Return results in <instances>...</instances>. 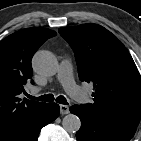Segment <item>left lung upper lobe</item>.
<instances>
[{"label":"left lung upper lobe","mask_w":141,"mask_h":141,"mask_svg":"<svg viewBox=\"0 0 141 141\" xmlns=\"http://www.w3.org/2000/svg\"><path fill=\"white\" fill-rule=\"evenodd\" d=\"M72 47L81 81L92 83L93 103L103 117L137 127L141 118V77L125 46L97 24L59 29Z\"/></svg>","instance_id":"1"}]
</instances>
